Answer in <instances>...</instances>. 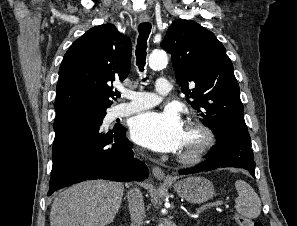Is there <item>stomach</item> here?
I'll return each mask as SVG.
<instances>
[{"label":"stomach","mask_w":297,"mask_h":226,"mask_svg":"<svg viewBox=\"0 0 297 226\" xmlns=\"http://www.w3.org/2000/svg\"><path fill=\"white\" fill-rule=\"evenodd\" d=\"M177 194L190 203H203L215 192L211 181L204 177L190 176L173 184Z\"/></svg>","instance_id":"1"}]
</instances>
